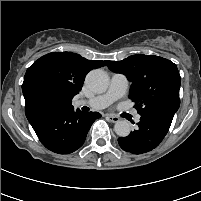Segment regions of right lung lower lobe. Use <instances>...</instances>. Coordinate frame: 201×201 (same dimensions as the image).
<instances>
[{
  "label": "right lung lower lobe",
  "mask_w": 201,
  "mask_h": 201,
  "mask_svg": "<svg viewBox=\"0 0 201 201\" xmlns=\"http://www.w3.org/2000/svg\"><path fill=\"white\" fill-rule=\"evenodd\" d=\"M25 114L41 143L58 154L79 149L93 122L101 117L98 112H75L73 106L43 103L26 108Z\"/></svg>",
  "instance_id": "98d812e1"
}]
</instances>
